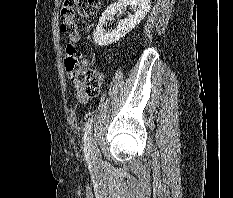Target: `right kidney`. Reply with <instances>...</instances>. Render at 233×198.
<instances>
[{"instance_id": "ca27d5eb", "label": "right kidney", "mask_w": 233, "mask_h": 198, "mask_svg": "<svg viewBox=\"0 0 233 198\" xmlns=\"http://www.w3.org/2000/svg\"><path fill=\"white\" fill-rule=\"evenodd\" d=\"M128 5L134 7V14H129L128 18L118 22V25L114 30L104 33L103 27L107 18L113 16L117 11H121L122 9L126 8ZM150 8V0H118V2L111 4L102 14L93 33L95 44L98 46H107L119 41L127 33L134 29L141 20H143Z\"/></svg>"}]
</instances>
